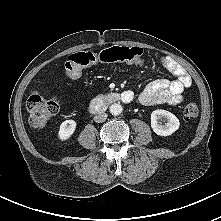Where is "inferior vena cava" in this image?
<instances>
[{"mask_svg": "<svg viewBox=\"0 0 221 221\" xmlns=\"http://www.w3.org/2000/svg\"><path fill=\"white\" fill-rule=\"evenodd\" d=\"M107 116L108 115L106 113L97 114L94 116V121L97 123H102V122L106 121Z\"/></svg>", "mask_w": 221, "mask_h": 221, "instance_id": "obj_1", "label": "inferior vena cava"}]
</instances>
